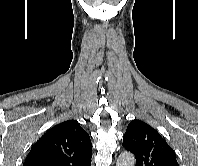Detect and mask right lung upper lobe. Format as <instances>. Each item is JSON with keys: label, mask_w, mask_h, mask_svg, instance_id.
<instances>
[{"label": "right lung upper lobe", "mask_w": 198, "mask_h": 166, "mask_svg": "<svg viewBox=\"0 0 198 166\" xmlns=\"http://www.w3.org/2000/svg\"><path fill=\"white\" fill-rule=\"evenodd\" d=\"M92 143L75 120L47 131L31 148L24 166H90Z\"/></svg>", "instance_id": "1"}]
</instances>
